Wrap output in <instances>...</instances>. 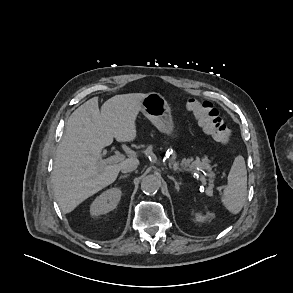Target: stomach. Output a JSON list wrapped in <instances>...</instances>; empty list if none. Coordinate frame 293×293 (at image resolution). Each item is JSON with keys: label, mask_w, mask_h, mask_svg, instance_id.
Masks as SVG:
<instances>
[{"label": "stomach", "mask_w": 293, "mask_h": 293, "mask_svg": "<svg viewBox=\"0 0 293 293\" xmlns=\"http://www.w3.org/2000/svg\"><path fill=\"white\" fill-rule=\"evenodd\" d=\"M142 113L163 134L174 137L175 127L171 109L165 98L159 93L151 92L145 95L142 102Z\"/></svg>", "instance_id": "obj_1"}]
</instances>
